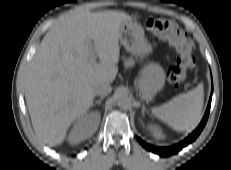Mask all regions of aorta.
Wrapping results in <instances>:
<instances>
[{
  "label": "aorta",
  "mask_w": 231,
  "mask_h": 170,
  "mask_svg": "<svg viewBox=\"0 0 231 170\" xmlns=\"http://www.w3.org/2000/svg\"><path fill=\"white\" fill-rule=\"evenodd\" d=\"M117 105L123 109H129L132 106V99L126 93H120L116 98Z\"/></svg>",
  "instance_id": "762f6f07"
}]
</instances>
